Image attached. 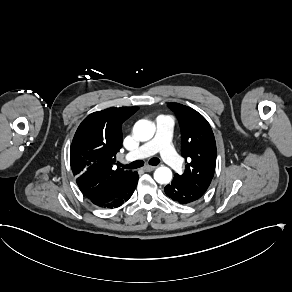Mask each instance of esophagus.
Wrapping results in <instances>:
<instances>
[{"mask_svg": "<svg viewBox=\"0 0 292 292\" xmlns=\"http://www.w3.org/2000/svg\"><path fill=\"white\" fill-rule=\"evenodd\" d=\"M156 169V166H149V165H146L143 167V170L146 171V172H150V171H153Z\"/></svg>", "mask_w": 292, "mask_h": 292, "instance_id": "esophagus-1", "label": "esophagus"}]
</instances>
